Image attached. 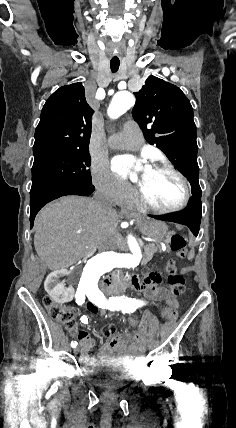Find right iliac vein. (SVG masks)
<instances>
[{
    "instance_id": "1",
    "label": "right iliac vein",
    "mask_w": 236,
    "mask_h": 428,
    "mask_svg": "<svg viewBox=\"0 0 236 428\" xmlns=\"http://www.w3.org/2000/svg\"><path fill=\"white\" fill-rule=\"evenodd\" d=\"M79 351H81V346H76V349L74 350L73 354L76 356L79 353Z\"/></svg>"
}]
</instances>
